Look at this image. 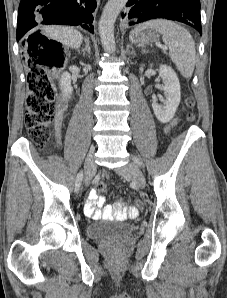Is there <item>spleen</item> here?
I'll list each match as a JSON object with an SVG mask.
<instances>
[{"instance_id":"1","label":"spleen","mask_w":227,"mask_h":298,"mask_svg":"<svg viewBox=\"0 0 227 298\" xmlns=\"http://www.w3.org/2000/svg\"><path fill=\"white\" fill-rule=\"evenodd\" d=\"M153 29L162 34L163 41L169 46V56L183 77L190 78L195 67V42L190 33L173 21L157 19L138 25L131 33Z\"/></svg>"}]
</instances>
